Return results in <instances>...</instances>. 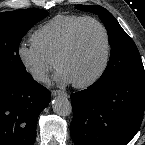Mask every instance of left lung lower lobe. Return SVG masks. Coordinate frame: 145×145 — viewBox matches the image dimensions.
<instances>
[{"label":"left lung lower lobe","mask_w":145,"mask_h":145,"mask_svg":"<svg viewBox=\"0 0 145 145\" xmlns=\"http://www.w3.org/2000/svg\"><path fill=\"white\" fill-rule=\"evenodd\" d=\"M71 137L76 145H126L138 132L145 108V75L91 85L71 94Z\"/></svg>","instance_id":"1"}]
</instances>
